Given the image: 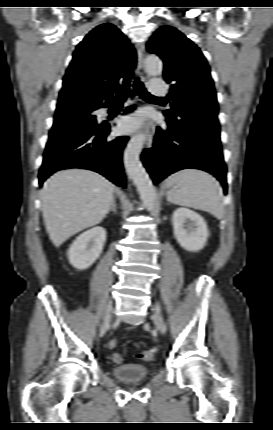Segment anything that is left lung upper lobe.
Listing matches in <instances>:
<instances>
[{"instance_id":"5c2ea615","label":"left lung upper lobe","mask_w":273,"mask_h":430,"mask_svg":"<svg viewBox=\"0 0 273 430\" xmlns=\"http://www.w3.org/2000/svg\"><path fill=\"white\" fill-rule=\"evenodd\" d=\"M149 53L164 62V79L171 84L168 99L175 119L218 115V103L210 68L200 49L171 26L160 27L147 43Z\"/></svg>"}]
</instances>
